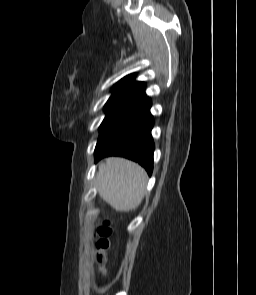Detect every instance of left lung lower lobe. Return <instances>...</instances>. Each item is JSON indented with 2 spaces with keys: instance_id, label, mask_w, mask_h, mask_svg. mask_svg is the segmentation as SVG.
<instances>
[{
  "instance_id": "0a47b994",
  "label": "left lung lower lobe",
  "mask_w": 256,
  "mask_h": 295,
  "mask_svg": "<svg viewBox=\"0 0 256 295\" xmlns=\"http://www.w3.org/2000/svg\"><path fill=\"white\" fill-rule=\"evenodd\" d=\"M150 107L151 102L99 139L94 152L95 162L108 156H122L138 162L151 175L154 152L151 129L154 121Z\"/></svg>"
}]
</instances>
